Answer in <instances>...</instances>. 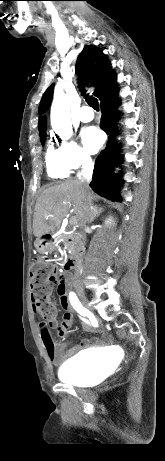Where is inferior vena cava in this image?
I'll use <instances>...</instances> for the list:
<instances>
[{
    "label": "inferior vena cava",
    "mask_w": 165,
    "mask_h": 461,
    "mask_svg": "<svg viewBox=\"0 0 165 461\" xmlns=\"http://www.w3.org/2000/svg\"><path fill=\"white\" fill-rule=\"evenodd\" d=\"M82 171L78 174V179L82 185V188L86 195V214L82 221V225L85 226L93 221L94 208L91 203V195L89 190V183L92 179L93 173V162L89 155H85L82 162ZM77 276V272L75 273Z\"/></svg>",
    "instance_id": "602c4592"
}]
</instances>
